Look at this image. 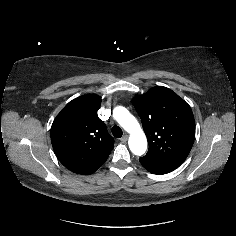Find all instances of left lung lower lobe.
<instances>
[{
  "label": "left lung lower lobe",
  "instance_id": "0a47b994",
  "mask_svg": "<svg viewBox=\"0 0 236 236\" xmlns=\"http://www.w3.org/2000/svg\"><path fill=\"white\" fill-rule=\"evenodd\" d=\"M149 172L153 173V174H166L169 173L171 171H173V169H164V168H154L152 166L146 165L144 163H141Z\"/></svg>",
  "mask_w": 236,
  "mask_h": 236
}]
</instances>
